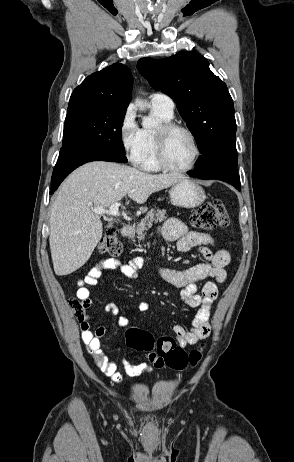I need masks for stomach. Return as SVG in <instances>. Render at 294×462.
<instances>
[{
  "label": "stomach",
  "instance_id": "0dacf381",
  "mask_svg": "<svg viewBox=\"0 0 294 462\" xmlns=\"http://www.w3.org/2000/svg\"><path fill=\"white\" fill-rule=\"evenodd\" d=\"M169 195L174 205L183 208H195L206 199L203 188L188 178L173 184L169 190Z\"/></svg>",
  "mask_w": 294,
  "mask_h": 462
}]
</instances>
